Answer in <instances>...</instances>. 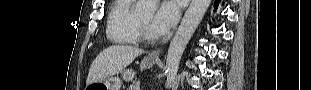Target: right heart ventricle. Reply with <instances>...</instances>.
<instances>
[{
  "label": "right heart ventricle",
  "mask_w": 311,
  "mask_h": 90,
  "mask_svg": "<svg viewBox=\"0 0 311 90\" xmlns=\"http://www.w3.org/2000/svg\"><path fill=\"white\" fill-rule=\"evenodd\" d=\"M137 18L133 0H116L110 8L107 19V37L117 44H138L140 35Z\"/></svg>",
  "instance_id": "obj_1"
}]
</instances>
